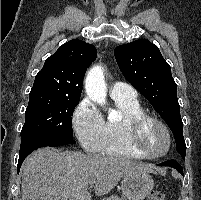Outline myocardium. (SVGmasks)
<instances>
[{
    "label": "myocardium",
    "instance_id": "1",
    "mask_svg": "<svg viewBox=\"0 0 201 200\" xmlns=\"http://www.w3.org/2000/svg\"><path fill=\"white\" fill-rule=\"evenodd\" d=\"M147 123H154L158 125L165 133L167 146H166V149L160 154H156V155L149 154L148 152L144 150V148L141 145V141H140L141 131ZM126 138H127L128 145L135 152H137L142 158L150 159V160H157V159L165 157L170 152L172 147V136L166 124L160 119L146 113L129 118L127 120Z\"/></svg>",
    "mask_w": 201,
    "mask_h": 200
}]
</instances>
